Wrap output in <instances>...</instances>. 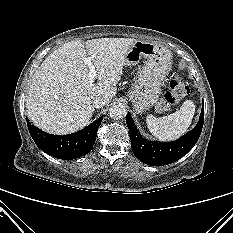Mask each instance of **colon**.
<instances>
[{"mask_svg":"<svg viewBox=\"0 0 233 233\" xmlns=\"http://www.w3.org/2000/svg\"><path fill=\"white\" fill-rule=\"evenodd\" d=\"M189 93V88L180 76H174L166 87L161 99L156 105L158 112H166L181 98Z\"/></svg>","mask_w":233,"mask_h":233,"instance_id":"1","label":"colon"}]
</instances>
